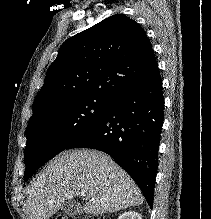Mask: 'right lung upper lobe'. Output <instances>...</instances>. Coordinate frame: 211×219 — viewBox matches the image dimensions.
<instances>
[{
    "mask_svg": "<svg viewBox=\"0 0 211 219\" xmlns=\"http://www.w3.org/2000/svg\"><path fill=\"white\" fill-rule=\"evenodd\" d=\"M158 67L144 30L116 14L67 39L33 103L30 120L76 99L113 100L146 81Z\"/></svg>",
    "mask_w": 211,
    "mask_h": 219,
    "instance_id": "obj_1",
    "label": "right lung upper lobe"
}]
</instances>
